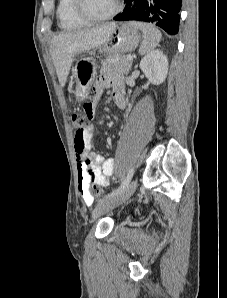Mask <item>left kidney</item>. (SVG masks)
<instances>
[{
    "label": "left kidney",
    "mask_w": 227,
    "mask_h": 298,
    "mask_svg": "<svg viewBox=\"0 0 227 298\" xmlns=\"http://www.w3.org/2000/svg\"><path fill=\"white\" fill-rule=\"evenodd\" d=\"M140 69L152 84L159 85L167 77V57L160 50L151 51L141 60Z\"/></svg>",
    "instance_id": "obj_1"
}]
</instances>
